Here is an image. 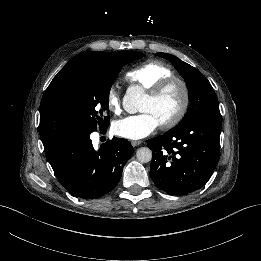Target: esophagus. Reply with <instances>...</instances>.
<instances>
[{
  "label": "esophagus",
  "instance_id": "esophagus-1",
  "mask_svg": "<svg viewBox=\"0 0 261 261\" xmlns=\"http://www.w3.org/2000/svg\"><path fill=\"white\" fill-rule=\"evenodd\" d=\"M141 143H142V141H140V140H133V141H131V144L134 147L139 146Z\"/></svg>",
  "mask_w": 261,
  "mask_h": 261
}]
</instances>
